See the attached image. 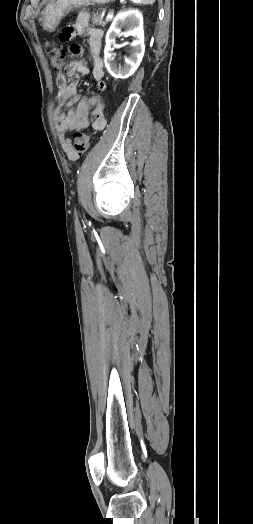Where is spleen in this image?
<instances>
[{
    "mask_svg": "<svg viewBox=\"0 0 253 524\" xmlns=\"http://www.w3.org/2000/svg\"><path fill=\"white\" fill-rule=\"evenodd\" d=\"M134 4H143V5H148V4H153L155 2V0H131Z\"/></svg>",
    "mask_w": 253,
    "mask_h": 524,
    "instance_id": "spleen-1",
    "label": "spleen"
}]
</instances>
